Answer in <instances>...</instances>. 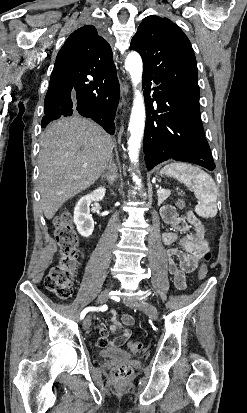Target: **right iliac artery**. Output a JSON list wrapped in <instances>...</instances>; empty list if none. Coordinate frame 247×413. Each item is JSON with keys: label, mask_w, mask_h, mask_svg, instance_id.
<instances>
[{"label": "right iliac artery", "mask_w": 247, "mask_h": 413, "mask_svg": "<svg viewBox=\"0 0 247 413\" xmlns=\"http://www.w3.org/2000/svg\"><path fill=\"white\" fill-rule=\"evenodd\" d=\"M107 309V305H103L102 308H99V310L101 311H105ZM93 310H98V308L95 307H87L85 308L81 314H80V318L83 319L85 317V315L89 312V311H93Z\"/></svg>", "instance_id": "obj_1"}]
</instances>
